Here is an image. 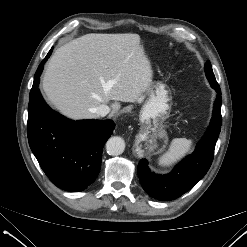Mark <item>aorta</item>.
I'll list each match as a JSON object with an SVG mask.
<instances>
[{"label": "aorta", "mask_w": 247, "mask_h": 247, "mask_svg": "<svg viewBox=\"0 0 247 247\" xmlns=\"http://www.w3.org/2000/svg\"><path fill=\"white\" fill-rule=\"evenodd\" d=\"M125 141L118 136L109 138L106 142V151L111 156H118L124 152Z\"/></svg>", "instance_id": "aorta-1"}]
</instances>
